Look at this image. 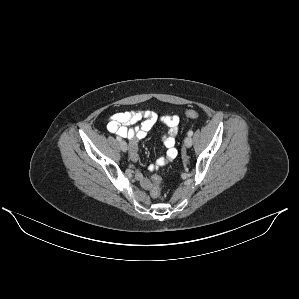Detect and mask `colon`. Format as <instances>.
<instances>
[{
  "instance_id": "obj_1",
  "label": "colon",
  "mask_w": 299,
  "mask_h": 299,
  "mask_svg": "<svg viewBox=\"0 0 299 299\" xmlns=\"http://www.w3.org/2000/svg\"><path fill=\"white\" fill-rule=\"evenodd\" d=\"M186 117L194 119L197 118L199 116V113L196 110H188L185 113ZM160 184H161V178L157 175L152 177V188H151V195L154 198H159L161 195V188H160Z\"/></svg>"
}]
</instances>
